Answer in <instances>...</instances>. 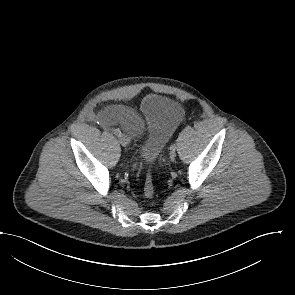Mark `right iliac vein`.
<instances>
[{"mask_svg": "<svg viewBox=\"0 0 295 295\" xmlns=\"http://www.w3.org/2000/svg\"><path fill=\"white\" fill-rule=\"evenodd\" d=\"M119 142H120V144H121L123 147H126V146L129 145L130 140H129V138H128L126 135H122V136H120V138H119Z\"/></svg>", "mask_w": 295, "mask_h": 295, "instance_id": "1", "label": "right iliac vein"}]
</instances>
